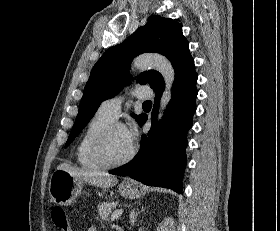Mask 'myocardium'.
I'll return each mask as SVG.
<instances>
[{"mask_svg":"<svg viewBox=\"0 0 280 231\" xmlns=\"http://www.w3.org/2000/svg\"><path fill=\"white\" fill-rule=\"evenodd\" d=\"M117 126L122 127V124L116 121L108 123L96 137L92 146V156L93 158L101 163L104 167H120L127 164L134 156V150L131 149L130 152L120 160H111L107 156L106 143L111 130Z\"/></svg>","mask_w":280,"mask_h":231,"instance_id":"myocardium-1","label":"myocardium"}]
</instances>
